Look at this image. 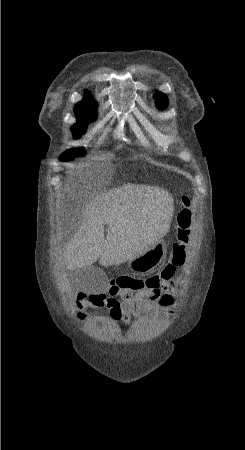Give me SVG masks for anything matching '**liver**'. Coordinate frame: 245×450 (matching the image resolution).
I'll return each mask as SVG.
<instances>
[{"label":"liver","instance_id":"obj_1","mask_svg":"<svg viewBox=\"0 0 245 450\" xmlns=\"http://www.w3.org/2000/svg\"><path fill=\"white\" fill-rule=\"evenodd\" d=\"M173 211L172 196L156 186L124 184L92 197L64 250L67 269L81 270L97 260L120 265L137 257L167 233Z\"/></svg>","mask_w":245,"mask_h":450}]
</instances>
